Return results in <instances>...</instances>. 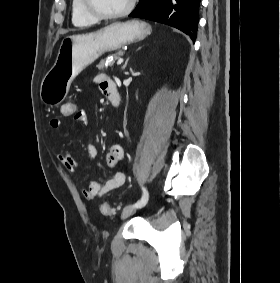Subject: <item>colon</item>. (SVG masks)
Wrapping results in <instances>:
<instances>
[{"label":"colon","mask_w":280,"mask_h":283,"mask_svg":"<svg viewBox=\"0 0 280 283\" xmlns=\"http://www.w3.org/2000/svg\"><path fill=\"white\" fill-rule=\"evenodd\" d=\"M76 112H80V107L76 100H67V103H61V116L63 119H70L71 116H76ZM100 211L104 216H111L115 213V208L107 203L101 205Z\"/></svg>","instance_id":"obj_1"}]
</instances>
